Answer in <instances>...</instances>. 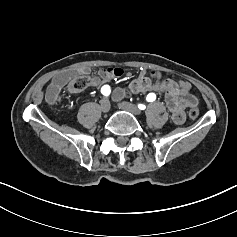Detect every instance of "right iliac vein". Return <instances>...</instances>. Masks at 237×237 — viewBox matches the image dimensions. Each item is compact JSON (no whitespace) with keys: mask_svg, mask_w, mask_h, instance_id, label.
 I'll list each match as a JSON object with an SVG mask.
<instances>
[{"mask_svg":"<svg viewBox=\"0 0 237 237\" xmlns=\"http://www.w3.org/2000/svg\"><path fill=\"white\" fill-rule=\"evenodd\" d=\"M110 102L107 98H103L101 101H100V108H101V111L103 113H107L109 112L110 110Z\"/></svg>","mask_w":237,"mask_h":237,"instance_id":"63e3f726","label":"right iliac vein"}]
</instances>
